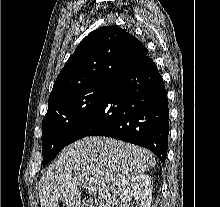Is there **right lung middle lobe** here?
I'll return each instance as SVG.
<instances>
[{"instance_id": "dd1d6c3e", "label": "right lung middle lobe", "mask_w": 220, "mask_h": 207, "mask_svg": "<svg viewBox=\"0 0 220 207\" xmlns=\"http://www.w3.org/2000/svg\"><path fill=\"white\" fill-rule=\"evenodd\" d=\"M107 83L106 81L90 84L49 101L42 126L44 165L70 144L71 135L96 108Z\"/></svg>"}]
</instances>
